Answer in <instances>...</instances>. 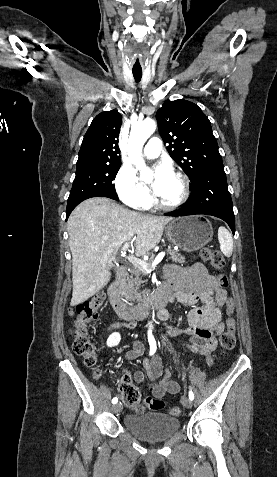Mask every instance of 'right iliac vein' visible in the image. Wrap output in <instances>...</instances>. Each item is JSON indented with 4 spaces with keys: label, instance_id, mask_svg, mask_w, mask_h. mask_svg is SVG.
I'll return each mask as SVG.
<instances>
[{
    "label": "right iliac vein",
    "instance_id": "right-iliac-vein-1",
    "mask_svg": "<svg viewBox=\"0 0 277 477\" xmlns=\"http://www.w3.org/2000/svg\"><path fill=\"white\" fill-rule=\"evenodd\" d=\"M121 410H122V405H121V403H117V404H115V405L113 406V412H114V413L118 414V413L121 412Z\"/></svg>",
    "mask_w": 277,
    "mask_h": 477
}]
</instances>
